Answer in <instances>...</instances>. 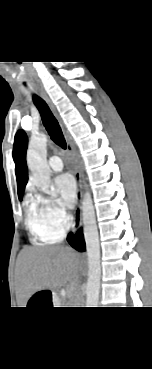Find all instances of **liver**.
Returning a JSON list of instances; mask_svg holds the SVG:
<instances>
[{
	"label": "liver",
	"mask_w": 152,
	"mask_h": 369,
	"mask_svg": "<svg viewBox=\"0 0 152 369\" xmlns=\"http://www.w3.org/2000/svg\"><path fill=\"white\" fill-rule=\"evenodd\" d=\"M80 260L63 246L28 247L19 256L18 284L25 297L44 289H55L78 278Z\"/></svg>",
	"instance_id": "obj_1"
}]
</instances>
